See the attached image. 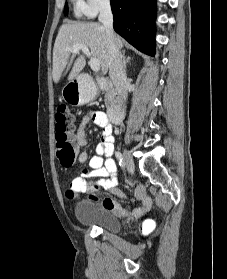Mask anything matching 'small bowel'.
Segmentation results:
<instances>
[{
  "mask_svg": "<svg viewBox=\"0 0 227 279\" xmlns=\"http://www.w3.org/2000/svg\"><path fill=\"white\" fill-rule=\"evenodd\" d=\"M91 121L102 129L100 143L96 146L95 155L92 157L87 151L79 153L78 161L82 164L87 163L88 166L69 182L67 196L73 199L76 193L88 190L92 196H95V188L101 187L109 191L114 197L122 199L124 196L118 189L117 167L113 159L114 136L108 118L103 111L90 109L83 115L76 132V143L79 147L87 145L85 128ZM135 199L140 202L137 207L121 205L113 198L102 199L100 203L106 210L118 215L139 216L151 209L152 200L143 185L137 187Z\"/></svg>",
  "mask_w": 227,
  "mask_h": 279,
  "instance_id": "obj_1",
  "label": "small bowel"
}]
</instances>
